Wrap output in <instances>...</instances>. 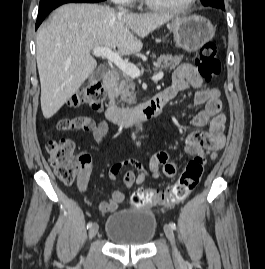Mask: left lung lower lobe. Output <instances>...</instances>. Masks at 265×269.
Segmentation results:
<instances>
[{"label":"left lung lower lobe","instance_id":"1","mask_svg":"<svg viewBox=\"0 0 265 269\" xmlns=\"http://www.w3.org/2000/svg\"><path fill=\"white\" fill-rule=\"evenodd\" d=\"M212 7H216V8H221L222 10H225V8L224 7H222V6H218V5H211Z\"/></svg>","mask_w":265,"mask_h":269}]
</instances>
